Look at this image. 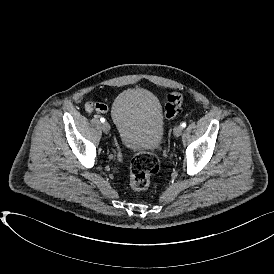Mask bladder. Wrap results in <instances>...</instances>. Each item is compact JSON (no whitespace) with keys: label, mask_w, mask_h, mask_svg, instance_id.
I'll return each instance as SVG.
<instances>
[{"label":"bladder","mask_w":274,"mask_h":274,"mask_svg":"<svg viewBox=\"0 0 274 274\" xmlns=\"http://www.w3.org/2000/svg\"><path fill=\"white\" fill-rule=\"evenodd\" d=\"M120 142L124 147L149 152L160 147L164 134V116L157 97L143 88L120 93L111 109Z\"/></svg>","instance_id":"1"}]
</instances>
